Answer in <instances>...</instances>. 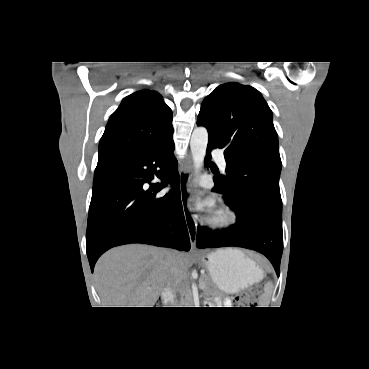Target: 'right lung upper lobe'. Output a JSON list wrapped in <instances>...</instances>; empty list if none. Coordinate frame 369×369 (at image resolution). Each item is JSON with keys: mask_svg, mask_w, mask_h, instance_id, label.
I'll use <instances>...</instances> for the list:
<instances>
[{"mask_svg": "<svg viewBox=\"0 0 369 369\" xmlns=\"http://www.w3.org/2000/svg\"><path fill=\"white\" fill-rule=\"evenodd\" d=\"M172 118L171 109L154 91L127 96L111 115L101 137L98 164H109L166 141L174 131Z\"/></svg>", "mask_w": 369, "mask_h": 369, "instance_id": "obj_1", "label": "right lung upper lobe"}]
</instances>
